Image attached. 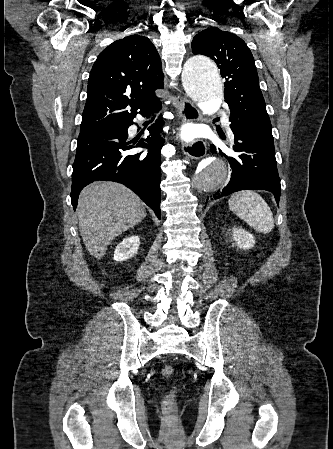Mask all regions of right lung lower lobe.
I'll list each match as a JSON object with an SVG mask.
<instances>
[{
  "instance_id": "98d812e1",
  "label": "right lung lower lobe",
  "mask_w": 333,
  "mask_h": 449,
  "mask_svg": "<svg viewBox=\"0 0 333 449\" xmlns=\"http://www.w3.org/2000/svg\"><path fill=\"white\" fill-rule=\"evenodd\" d=\"M161 109L160 100L139 111L143 116L152 109ZM136 115L112 126L92 131H80L76 157L73 164L71 201L74 210L80 191L97 180L116 181L133 190L159 219L161 201V148L163 121L161 116L152 124L150 135L138 143L128 141V127ZM147 148L148 153L135 152V148Z\"/></svg>"
}]
</instances>
